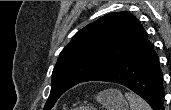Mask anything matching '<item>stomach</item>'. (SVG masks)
<instances>
[{"mask_svg": "<svg viewBox=\"0 0 171 110\" xmlns=\"http://www.w3.org/2000/svg\"><path fill=\"white\" fill-rule=\"evenodd\" d=\"M96 99L106 110H128V103L118 90H104Z\"/></svg>", "mask_w": 171, "mask_h": 110, "instance_id": "1", "label": "stomach"}]
</instances>
